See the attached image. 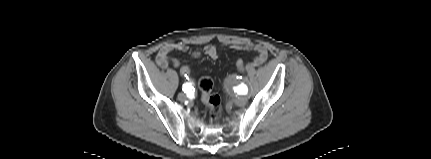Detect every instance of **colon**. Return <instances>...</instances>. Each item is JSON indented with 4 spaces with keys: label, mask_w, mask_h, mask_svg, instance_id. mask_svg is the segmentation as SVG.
<instances>
[{
    "label": "colon",
    "mask_w": 431,
    "mask_h": 159,
    "mask_svg": "<svg viewBox=\"0 0 431 159\" xmlns=\"http://www.w3.org/2000/svg\"><path fill=\"white\" fill-rule=\"evenodd\" d=\"M234 62L236 64V67L238 68L239 75H245L246 68L243 58H236ZM191 69L192 66L189 63H186L185 65H180V75L184 79H187L190 76ZM199 89L202 94V100L208 109L210 119L213 121L217 120L222 113V104L220 96L212 93V79L209 77H202L199 80Z\"/></svg>",
    "instance_id": "1"
}]
</instances>
